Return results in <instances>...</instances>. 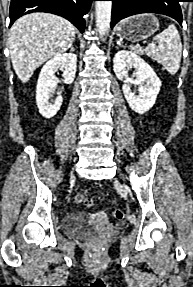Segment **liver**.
Segmentation results:
<instances>
[{
	"label": "liver",
	"mask_w": 193,
	"mask_h": 287,
	"mask_svg": "<svg viewBox=\"0 0 193 287\" xmlns=\"http://www.w3.org/2000/svg\"><path fill=\"white\" fill-rule=\"evenodd\" d=\"M75 34V27L57 15L32 13L19 18L9 31L10 57L19 79L28 82L45 61L66 52Z\"/></svg>",
	"instance_id": "liver-1"
}]
</instances>
